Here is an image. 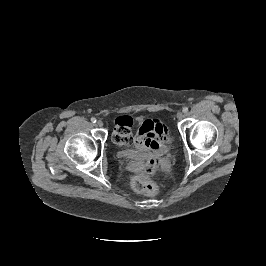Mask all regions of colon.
<instances>
[{"label":"colon","instance_id":"colon-1","mask_svg":"<svg viewBox=\"0 0 266 266\" xmlns=\"http://www.w3.org/2000/svg\"><path fill=\"white\" fill-rule=\"evenodd\" d=\"M133 187L136 191L151 196L156 195L159 192L158 186L146 173H141L134 177Z\"/></svg>","mask_w":266,"mask_h":266}]
</instances>
